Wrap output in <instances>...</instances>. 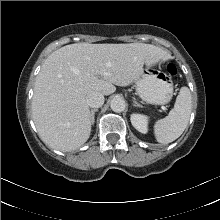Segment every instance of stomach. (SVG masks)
Instances as JSON below:
<instances>
[{
	"label": "stomach",
	"mask_w": 220,
	"mask_h": 220,
	"mask_svg": "<svg viewBox=\"0 0 220 220\" xmlns=\"http://www.w3.org/2000/svg\"><path fill=\"white\" fill-rule=\"evenodd\" d=\"M138 95L147 103L165 105L170 102L173 95V84L166 73L146 68L135 80Z\"/></svg>",
	"instance_id": "1"
}]
</instances>
